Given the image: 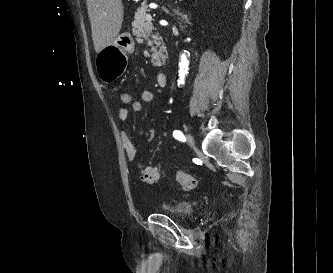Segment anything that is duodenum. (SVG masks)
Returning <instances> with one entry per match:
<instances>
[{
	"label": "duodenum",
	"instance_id": "duodenum-1",
	"mask_svg": "<svg viewBox=\"0 0 333 273\" xmlns=\"http://www.w3.org/2000/svg\"><path fill=\"white\" fill-rule=\"evenodd\" d=\"M168 76L165 72H160L157 75V85L159 87H165L167 85Z\"/></svg>",
	"mask_w": 333,
	"mask_h": 273
}]
</instances>
